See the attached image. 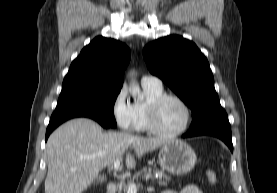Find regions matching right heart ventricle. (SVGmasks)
Returning a JSON list of instances; mask_svg holds the SVG:
<instances>
[{
    "instance_id": "e07e8e85",
    "label": "right heart ventricle",
    "mask_w": 277,
    "mask_h": 193,
    "mask_svg": "<svg viewBox=\"0 0 277 193\" xmlns=\"http://www.w3.org/2000/svg\"><path fill=\"white\" fill-rule=\"evenodd\" d=\"M147 95V102L145 103H135L133 105L134 114H135V130L139 132L149 131L148 120H147V104L148 102L156 96H159L163 93V88H151L143 87Z\"/></svg>"
}]
</instances>
